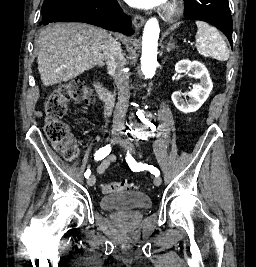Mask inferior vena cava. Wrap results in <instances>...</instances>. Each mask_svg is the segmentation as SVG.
I'll return each mask as SVG.
<instances>
[{
	"label": "inferior vena cava",
	"mask_w": 256,
	"mask_h": 267,
	"mask_svg": "<svg viewBox=\"0 0 256 267\" xmlns=\"http://www.w3.org/2000/svg\"><path fill=\"white\" fill-rule=\"evenodd\" d=\"M103 60L109 72H113V80L118 88V102L113 116V128H123L129 106V74L125 72V62L116 40H108L101 46Z\"/></svg>",
	"instance_id": "obj_1"
}]
</instances>
